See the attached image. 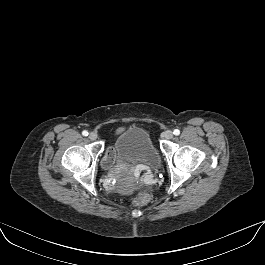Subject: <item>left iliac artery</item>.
I'll use <instances>...</instances> for the list:
<instances>
[{
  "instance_id": "1",
  "label": "left iliac artery",
  "mask_w": 265,
  "mask_h": 265,
  "mask_svg": "<svg viewBox=\"0 0 265 265\" xmlns=\"http://www.w3.org/2000/svg\"><path fill=\"white\" fill-rule=\"evenodd\" d=\"M173 134L176 135V136H178V135L180 134V130L175 129V130L173 131Z\"/></svg>"
}]
</instances>
